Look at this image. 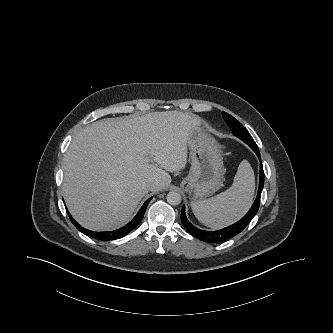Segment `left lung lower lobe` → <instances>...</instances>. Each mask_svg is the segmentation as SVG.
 <instances>
[{
	"instance_id": "obj_1",
	"label": "left lung lower lobe",
	"mask_w": 333,
	"mask_h": 333,
	"mask_svg": "<svg viewBox=\"0 0 333 333\" xmlns=\"http://www.w3.org/2000/svg\"><path fill=\"white\" fill-rule=\"evenodd\" d=\"M254 152L257 154L259 160L261 161L260 152L258 147H251ZM264 186V171L263 166L260 164V178H259V188L258 193L255 202L253 203L252 207L248 211V213L238 222L235 224L228 226L226 228H223L221 230L217 231H204L201 229L196 228L193 226L186 218L185 215V207L183 206L181 211V221L185 229L192 234L194 237L198 238L201 241L207 242V243H219L223 242L229 238H232L233 236L239 234L253 219V217L256 215L259 205H260V197L261 192Z\"/></svg>"
}]
</instances>
